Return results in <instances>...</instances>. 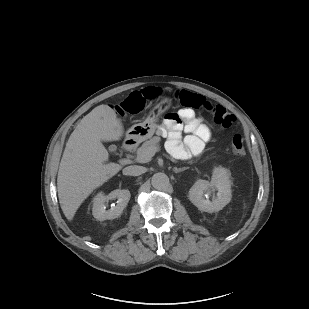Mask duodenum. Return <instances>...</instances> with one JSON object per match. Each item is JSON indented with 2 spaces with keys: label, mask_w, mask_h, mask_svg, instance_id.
<instances>
[{
  "label": "duodenum",
  "mask_w": 309,
  "mask_h": 309,
  "mask_svg": "<svg viewBox=\"0 0 309 309\" xmlns=\"http://www.w3.org/2000/svg\"><path fill=\"white\" fill-rule=\"evenodd\" d=\"M136 141L132 137H127L123 144V149L125 151H131L135 148Z\"/></svg>",
  "instance_id": "410a0bca"
}]
</instances>
